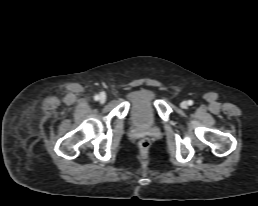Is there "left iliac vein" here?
Here are the masks:
<instances>
[{
	"instance_id": "left-iliac-vein-1",
	"label": "left iliac vein",
	"mask_w": 258,
	"mask_h": 206,
	"mask_svg": "<svg viewBox=\"0 0 258 206\" xmlns=\"http://www.w3.org/2000/svg\"><path fill=\"white\" fill-rule=\"evenodd\" d=\"M180 106H181V108L185 109L188 106V102L183 101V102H181Z\"/></svg>"
}]
</instances>
